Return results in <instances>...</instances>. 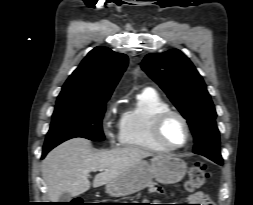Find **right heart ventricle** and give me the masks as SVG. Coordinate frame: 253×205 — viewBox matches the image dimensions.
<instances>
[{
    "mask_svg": "<svg viewBox=\"0 0 253 205\" xmlns=\"http://www.w3.org/2000/svg\"><path fill=\"white\" fill-rule=\"evenodd\" d=\"M170 110L168 103L153 89L137 95L134 108L124 112L119 121V143L153 152H163L152 136V124L160 113Z\"/></svg>",
    "mask_w": 253,
    "mask_h": 205,
    "instance_id": "obj_1",
    "label": "right heart ventricle"
}]
</instances>
